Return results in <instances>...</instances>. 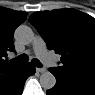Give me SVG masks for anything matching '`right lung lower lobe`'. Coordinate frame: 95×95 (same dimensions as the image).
Segmentation results:
<instances>
[{
  "instance_id": "obj_1",
  "label": "right lung lower lobe",
  "mask_w": 95,
  "mask_h": 95,
  "mask_svg": "<svg viewBox=\"0 0 95 95\" xmlns=\"http://www.w3.org/2000/svg\"><path fill=\"white\" fill-rule=\"evenodd\" d=\"M35 73V68L31 63H25L21 75L7 88L0 90V95H21L25 80Z\"/></svg>"
}]
</instances>
